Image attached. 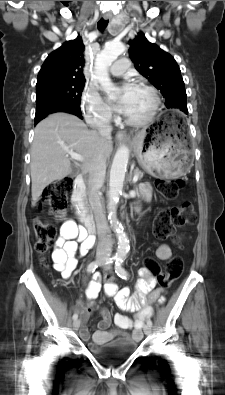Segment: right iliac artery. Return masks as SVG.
Masks as SVG:
<instances>
[{"mask_svg":"<svg viewBox=\"0 0 225 395\" xmlns=\"http://www.w3.org/2000/svg\"><path fill=\"white\" fill-rule=\"evenodd\" d=\"M115 259H116V257H113V258H111L108 262H109V263H112L113 260H115ZM99 265H100V263L97 262V261L91 262V263L87 266V272H88V273H93V272L98 268ZM72 318H73V320H76V319L78 318V314L75 313V314L73 315Z\"/></svg>","mask_w":225,"mask_h":395,"instance_id":"1","label":"right iliac artery"}]
</instances>
